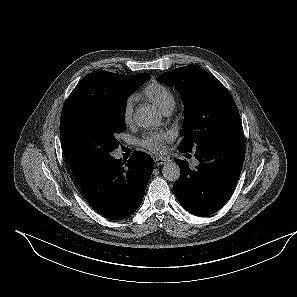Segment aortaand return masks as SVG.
<instances>
[{
	"instance_id": "aorta-1",
	"label": "aorta",
	"mask_w": 297,
	"mask_h": 297,
	"mask_svg": "<svg viewBox=\"0 0 297 297\" xmlns=\"http://www.w3.org/2000/svg\"><path fill=\"white\" fill-rule=\"evenodd\" d=\"M134 120L138 126L143 128L154 127L159 123L156 110L149 106L138 108L134 114ZM162 174L166 180L175 182L179 179L181 170L176 163L170 162L164 165Z\"/></svg>"
}]
</instances>
